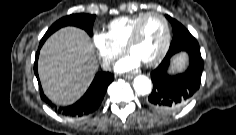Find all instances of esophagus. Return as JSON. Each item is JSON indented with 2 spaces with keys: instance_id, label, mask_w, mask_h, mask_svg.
Segmentation results:
<instances>
[{
  "instance_id": "1",
  "label": "esophagus",
  "mask_w": 236,
  "mask_h": 135,
  "mask_svg": "<svg viewBox=\"0 0 236 135\" xmlns=\"http://www.w3.org/2000/svg\"><path fill=\"white\" fill-rule=\"evenodd\" d=\"M124 77L126 79H133L134 78V74H126Z\"/></svg>"
}]
</instances>
